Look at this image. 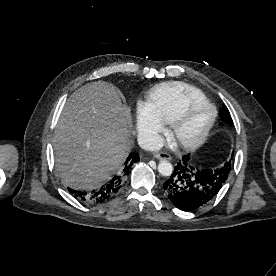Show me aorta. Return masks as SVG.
Masks as SVG:
<instances>
[{
  "instance_id": "1",
  "label": "aorta",
  "mask_w": 276,
  "mask_h": 276,
  "mask_svg": "<svg viewBox=\"0 0 276 276\" xmlns=\"http://www.w3.org/2000/svg\"><path fill=\"white\" fill-rule=\"evenodd\" d=\"M158 172L165 177L171 176L173 173V166L167 160H162L158 164Z\"/></svg>"
}]
</instances>
